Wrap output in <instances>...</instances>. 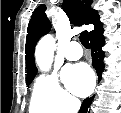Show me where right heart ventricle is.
<instances>
[{
	"mask_svg": "<svg viewBox=\"0 0 121 113\" xmlns=\"http://www.w3.org/2000/svg\"><path fill=\"white\" fill-rule=\"evenodd\" d=\"M29 113H48L47 109L37 101L34 91L29 103Z\"/></svg>",
	"mask_w": 121,
	"mask_h": 113,
	"instance_id": "e07e8e85",
	"label": "right heart ventricle"
}]
</instances>
